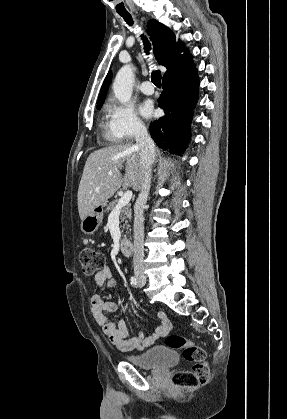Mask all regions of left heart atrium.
<instances>
[{"mask_svg": "<svg viewBox=\"0 0 287 419\" xmlns=\"http://www.w3.org/2000/svg\"><path fill=\"white\" fill-rule=\"evenodd\" d=\"M139 111L143 117L151 116L153 113L152 104L148 101L143 102L139 107Z\"/></svg>", "mask_w": 287, "mask_h": 419, "instance_id": "obj_1", "label": "left heart atrium"}]
</instances>
